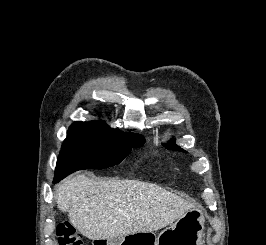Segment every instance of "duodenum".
I'll return each mask as SVG.
<instances>
[{
    "label": "duodenum",
    "instance_id": "duodenum-1",
    "mask_svg": "<svg viewBox=\"0 0 266 245\" xmlns=\"http://www.w3.org/2000/svg\"><path fill=\"white\" fill-rule=\"evenodd\" d=\"M95 245H108L109 237H94Z\"/></svg>",
    "mask_w": 266,
    "mask_h": 245
}]
</instances>
